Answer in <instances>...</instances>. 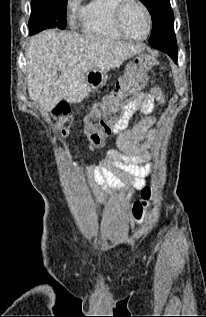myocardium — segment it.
<instances>
[{
	"mask_svg": "<svg viewBox=\"0 0 206 317\" xmlns=\"http://www.w3.org/2000/svg\"><path fill=\"white\" fill-rule=\"evenodd\" d=\"M130 4L139 5L143 9V11L146 15L147 31L143 37H139V38L132 37L125 31V29L123 27V16H124V13H125L127 7ZM113 24H114L116 31L123 38L128 39L130 41H134V42H141V41L146 40L151 34L152 25H153L152 15H151V12H150L149 8L147 7V5L141 0H119V2L114 6V9H113Z\"/></svg>",
	"mask_w": 206,
	"mask_h": 317,
	"instance_id": "f54148a6",
	"label": "myocardium"
}]
</instances>
